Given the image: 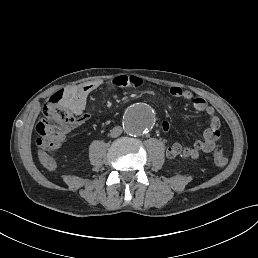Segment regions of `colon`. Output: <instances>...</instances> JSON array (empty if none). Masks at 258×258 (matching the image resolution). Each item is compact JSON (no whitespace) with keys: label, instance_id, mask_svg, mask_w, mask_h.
I'll use <instances>...</instances> for the list:
<instances>
[{"label":"colon","instance_id":"colon-1","mask_svg":"<svg viewBox=\"0 0 258 258\" xmlns=\"http://www.w3.org/2000/svg\"><path fill=\"white\" fill-rule=\"evenodd\" d=\"M61 92L54 94L44 106V117L36 125L37 146L41 158L46 161L58 150L66 135L80 126L86 116H74L69 111L58 106ZM216 166L223 167L228 163V156L223 145H217L213 151Z\"/></svg>","mask_w":258,"mask_h":258}]
</instances>
